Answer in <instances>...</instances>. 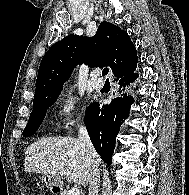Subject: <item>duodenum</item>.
I'll list each match as a JSON object with an SVG mask.
<instances>
[{"label": "duodenum", "mask_w": 189, "mask_h": 195, "mask_svg": "<svg viewBox=\"0 0 189 195\" xmlns=\"http://www.w3.org/2000/svg\"><path fill=\"white\" fill-rule=\"evenodd\" d=\"M58 190H59L58 188H54V191H56V192H57Z\"/></svg>", "instance_id": "obj_1"}]
</instances>
